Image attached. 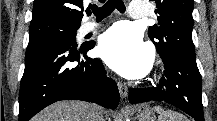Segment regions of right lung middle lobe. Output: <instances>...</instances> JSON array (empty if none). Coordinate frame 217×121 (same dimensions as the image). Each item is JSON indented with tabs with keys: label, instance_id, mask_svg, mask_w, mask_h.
I'll use <instances>...</instances> for the list:
<instances>
[{
	"label": "right lung middle lobe",
	"instance_id": "1",
	"mask_svg": "<svg viewBox=\"0 0 217 121\" xmlns=\"http://www.w3.org/2000/svg\"><path fill=\"white\" fill-rule=\"evenodd\" d=\"M79 27L80 24H72L56 19L31 22L29 44L54 39L76 42V31Z\"/></svg>",
	"mask_w": 217,
	"mask_h": 121
}]
</instances>
